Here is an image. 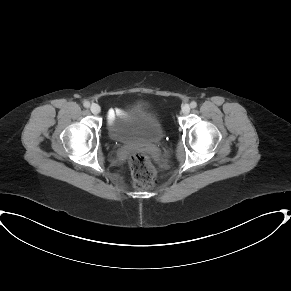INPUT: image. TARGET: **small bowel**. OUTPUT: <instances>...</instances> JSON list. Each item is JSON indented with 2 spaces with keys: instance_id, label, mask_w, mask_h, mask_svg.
Returning a JSON list of instances; mask_svg holds the SVG:
<instances>
[{
  "instance_id": "obj_1",
  "label": "small bowel",
  "mask_w": 291,
  "mask_h": 291,
  "mask_svg": "<svg viewBox=\"0 0 291 291\" xmlns=\"http://www.w3.org/2000/svg\"><path fill=\"white\" fill-rule=\"evenodd\" d=\"M121 113H122L121 110H110L108 116H109L110 119H112L116 115L121 114Z\"/></svg>"
}]
</instances>
